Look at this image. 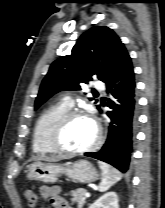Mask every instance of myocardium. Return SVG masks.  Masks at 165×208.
I'll return each instance as SVG.
<instances>
[{
  "label": "myocardium",
  "mask_w": 165,
  "mask_h": 208,
  "mask_svg": "<svg viewBox=\"0 0 165 208\" xmlns=\"http://www.w3.org/2000/svg\"><path fill=\"white\" fill-rule=\"evenodd\" d=\"M77 117H86V118H89L93 122L95 126V138H94V141L85 148L68 149L61 142L62 134L65 128L68 126V124L74 118H77ZM101 140H102L101 127L99 126L98 122L93 117V115L90 112L83 110V109H75V110L66 111L64 114H62L58 118V120L55 122V124L53 125L49 133V142L52 145V147L57 151V153L69 154V155H82V154L89 153L99 146Z\"/></svg>",
  "instance_id": "myocardium-1"
}]
</instances>
